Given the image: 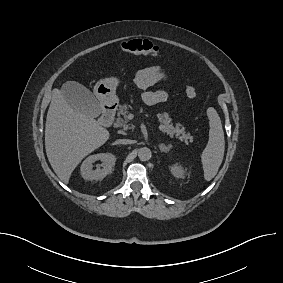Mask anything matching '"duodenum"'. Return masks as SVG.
<instances>
[{"label":"duodenum","instance_id":"obj_1","mask_svg":"<svg viewBox=\"0 0 283 283\" xmlns=\"http://www.w3.org/2000/svg\"><path fill=\"white\" fill-rule=\"evenodd\" d=\"M114 117H115V108L114 106L108 105L103 108L100 121L103 126L109 127L113 123Z\"/></svg>","mask_w":283,"mask_h":283}]
</instances>
